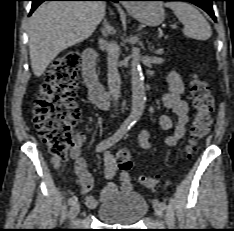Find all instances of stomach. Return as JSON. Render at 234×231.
<instances>
[{"label": "stomach", "instance_id": "1", "mask_svg": "<svg viewBox=\"0 0 234 231\" xmlns=\"http://www.w3.org/2000/svg\"><path fill=\"white\" fill-rule=\"evenodd\" d=\"M131 14L139 22L148 26L160 25L165 18V11L161 2L137 3L131 10Z\"/></svg>", "mask_w": 234, "mask_h": 231}]
</instances>
